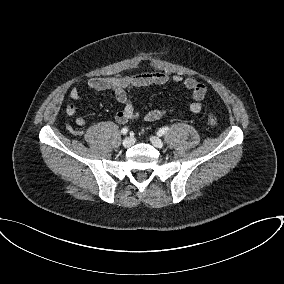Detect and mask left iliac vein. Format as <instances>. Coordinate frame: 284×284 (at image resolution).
I'll return each instance as SVG.
<instances>
[{
	"label": "left iliac vein",
	"instance_id": "left-iliac-vein-1",
	"mask_svg": "<svg viewBox=\"0 0 284 284\" xmlns=\"http://www.w3.org/2000/svg\"><path fill=\"white\" fill-rule=\"evenodd\" d=\"M151 143L156 147V148H162L163 147V141L156 136L150 137Z\"/></svg>",
	"mask_w": 284,
	"mask_h": 284
}]
</instances>
